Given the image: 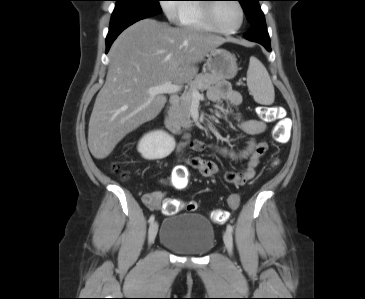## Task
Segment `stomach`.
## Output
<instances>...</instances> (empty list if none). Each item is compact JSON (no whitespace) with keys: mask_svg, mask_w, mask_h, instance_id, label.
<instances>
[{"mask_svg":"<svg viewBox=\"0 0 365 299\" xmlns=\"http://www.w3.org/2000/svg\"><path fill=\"white\" fill-rule=\"evenodd\" d=\"M207 69L212 75L231 79L238 71L236 57L225 49L215 48L207 54Z\"/></svg>","mask_w":365,"mask_h":299,"instance_id":"obj_1","label":"stomach"}]
</instances>
